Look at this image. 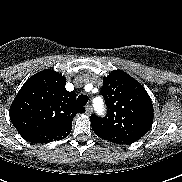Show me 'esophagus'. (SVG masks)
<instances>
[{
	"instance_id": "1",
	"label": "esophagus",
	"mask_w": 182,
	"mask_h": 182,
	"mask_svg": "<svg viewBox=\"0 0 182 182\" xmlns=\"http://www.w3.org/2000/svg\"><path fill=\"white\" fill-rule=\"evenodd\" d=\"M85 109H86V114H87V115H90V114L92 113V111H93L92 106H91L90 104H88V105L85 107Z\"/></svg>"
}]
</instances>
